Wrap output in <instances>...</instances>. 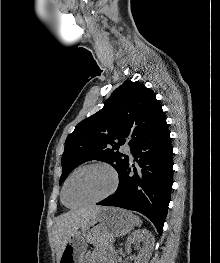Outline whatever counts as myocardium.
Wrapping results in <instances>:
<instances>
[{
	"instance_id": "f54148a6",
	"label": "myocardium",
	"mask_w": 220,
	"mask_h": 263,
	"mask_svg": "<svg viewBox=\"0 0 220 263\" xmlns=\"http://www.w3.org/2000/svg\"><path fill=\"white\" fill-rule=\"evenodd\" d=\"M91 167H101L106 169L112 178V184L111 187L109 188V190L104 193L103 195L94 198L92 200L80 203V204H76V205H69L66 202V191H67V187L69 185L70 180L74 177V175H76L78 172L87 169V168H91ZM119 186V175L118 172L115 170L114 167H112L110 164L105 163V162H91V163H87L85 165H82L80 167H78L77 169H75L66 179L64 186H63V190H62V202L64 203V205H66L69 208H79V207H83V206H87V205H91V204H96L99 203L105 199H107L108 197H110L118 188Z\"/></svg>"
}]
</instances>
